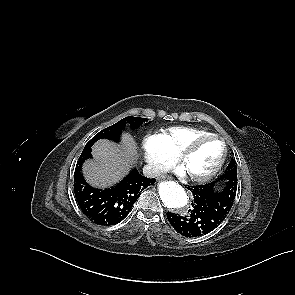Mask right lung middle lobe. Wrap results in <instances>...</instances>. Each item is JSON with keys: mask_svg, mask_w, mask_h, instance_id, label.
Instances as JSON below:
<instances>
[{"mask_svg": "<svg viewBox=\"0 0 295 295\" xmlns=\"http://www.w3.org/2000/svg\"><path fill=\"white\" fill-rule=\"evenodd\" d=\"M146 118H139V117H126L116 124L107 127L106 129L100 131L97 133L85 146L83 152L81 155H85L88 151L91 150L92 145L99 139L107 138V139H113L118 140L119 135L121 134L122 130L125 128V124L129 123L132 128H137L144 122H146ZM147 125V123L145 124Z\"/></svg>", "mask_w": 295, "mask_h": 295, "instance_id": "right-lung-middle-lobe-1", "label": "right lung middle lobe"}]
</instances>
